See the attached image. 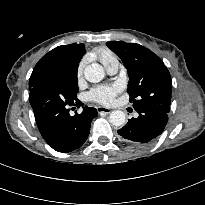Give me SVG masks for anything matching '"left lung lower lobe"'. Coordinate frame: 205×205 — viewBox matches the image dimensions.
I'll list each match as a JSON object with an SVG mask.
<instances>
[{"label":"left lung lower lobe","mask_w":205,"mask_h":205,"mask_svg":"<svg viewBox=\"0 0 205 205\" xmlns=\"http://www.w3.org/2000/svg\"><path fill=\"white\" fill-rule=\"evenodd\" d=\"M138 118H132L118 130L121 139L132 146H144L153 142L164 130L168 113L151 108L136 109Z\"/></svg>","instance_id":"1"}]
</instances>
